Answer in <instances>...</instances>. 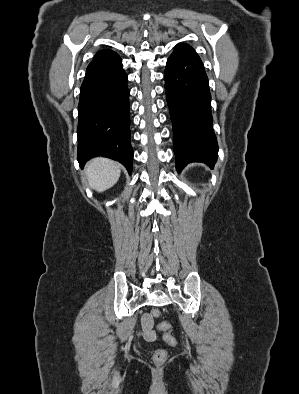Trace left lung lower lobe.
Segmentation results:
<instances>
[{"instance_id":"1","label":"left lung lower lobe","mask_w":299,"mask_h":394,"mask_svg":"<svg viewBox=\"0 0 299 394\" xmlns=\"http://www.w3.org/2000/svg\"><path fill=\"white\" fill-rule=\"evenodd\" d=\"M164 79L177 170L181 172L193 161L212 167L218 144L212 129L211 95L204 65L192 47L176 46L167 60Z\"/></svg>"}]
</instances>
